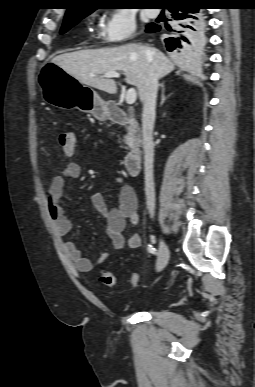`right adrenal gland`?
Returning a JSON list of instances; mask_svg holds the SVG:
<instances>
[{"label":"right adrenal gland","mask_w":255,"mask_h":387,"mask_svg":"<svg viewBox=\"0 0 255 387\" xmlns=\"http://www.w3.org/2000/svg\"><path fill=\"white\" fill-rule=\"evenodd\" d=\"M160 87H161V102H160V106H162L165 102V100L167 99V97L165 96V83H161L160 84Z\"/></svg>","instance_id":"right-adrenal-gland-1"}]
</instances>
